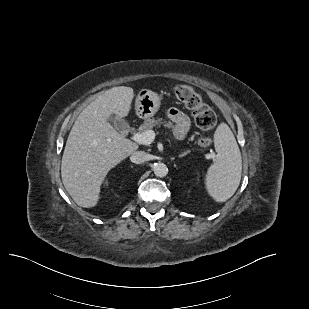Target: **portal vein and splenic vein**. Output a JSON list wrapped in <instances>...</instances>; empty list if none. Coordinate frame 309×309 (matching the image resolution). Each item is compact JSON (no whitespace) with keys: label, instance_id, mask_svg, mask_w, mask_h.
<instances>
[{"label":"portal vein and splenic vein","instance_id":"1","mask_svg":"<svg viewBox=\"0 0 309 309\" xmlns=\"http://www.w3.org/2000/svg\"><path fill=\"white\" fill-rule=\"evenodd\" d=\"M155 139V132L153 130H147L143 133H135L133 135V140L139 144L149 145Z\"/></svg>","mask_w":309,"mask_h":309}]
</instances>
